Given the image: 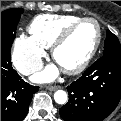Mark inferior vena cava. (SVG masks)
Segmentation results:
<instances>
[{
  "mask_svg": "<svg viewBox=\"0 0 121 121\" xmlns=\"http://www.w3.org/2000/svg\"><path fill=\"white\" fill-rule=\"evenodd\" d=\"M42 68V65H38V66H22L20 69H19V72L24 74V75H29L31 74L32 72L34 71H37V70H40Z\"/></svg>",
  "mask_w": 121,
  "mask_h": 121,
  "instance_id": "1",
  "label": "inferior vena cava"
}]
</instances>
